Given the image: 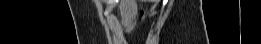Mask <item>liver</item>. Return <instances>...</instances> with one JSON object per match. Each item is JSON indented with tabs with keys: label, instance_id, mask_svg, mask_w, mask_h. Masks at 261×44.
Listing matches in <instances>:
<instances>
[{
	"label": "liver",
	"instance_id": "1",
	"mask_svg": "<svg viewBox=\"0 0 261 44\" xmlns=\"http://www.w3.org/2000/svg\"><path fill=\"white\" fill-rule=\"evenodd\" d=\"M121 23L126 31L133 29L138 12L137 0H121L119 4Z\"/></svg>",
	"mask_w": 261,
	"mask_h": 44
}]
</instances>
